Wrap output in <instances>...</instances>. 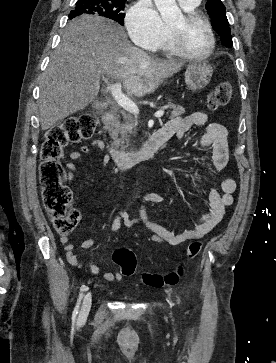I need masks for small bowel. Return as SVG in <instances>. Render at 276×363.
I'll return each instance as SVG.
<instances>
[{
    "instance_id": "small-bowel-1",
    "label": "small bowel",
    "mask_w": 276,
    "mask_h": 363,
    "mask_svg": "<svg viewBox=\"0 0 276 363\" xmlns=\"http://www.w3.org/2000/svg\"><path fill=\"white\" fill-rule=\"evenodd\" d=\"M209 116L206 112L199 111L185 117H175L171 119L158 132L166 133L169 138L176 135L182 138L186 131L193 126H206L205 133L199 139V145L203 148H211V165L214 171L221 172L229 161V144L228 132L225 126L220 123H208ZM96 147L101 149L103 143L99 140H94L90 145H83L79 150L69 153L70 162L66 163V168L69 171L67 180L73 181L77 171V165L74 161L79 160L84 154L91 152V148ZM236 190V182L232 178H224L220 182V191L211 190L209 193L210 207L207 213L197 219L194 226L180 233H173L148 219L146 214V203L161 204L164 202V197L158 193H148L141 201L140 216L130 219L126 213H121L114 219L110 226L112 232L120 229L124 223L126 226H133L137 223H142L148 230L152 232V241L157 243H166L170 245H178L192 239H199L209 234L223 219L226 207L233 203L232 194ZM66 252L67 261L74 267L86 268L93 275H101L108 282L120 281L123 276L120 272H106L101 274V269L98 265L90 264L85 266L81 263L73 252V244L66 237L60 238ZM94 246L93 239L82 241L80 247L84 251H89Z\"/></svg>"
}]
</instances>
